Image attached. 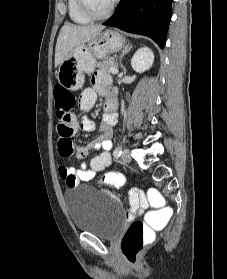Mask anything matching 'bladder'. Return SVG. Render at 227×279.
<instances>
[{"mask_svg":"<svg viewBox=\"0 0 227 279\" xmlns=\"http://www.w3.org/2000/svg\"><path fill=\"white\" fill-rule=\"evenodd\" d=\"M64 201L76 230L109 239L120 234L124 226L121 205L99 189L92 186L68 189Z\"/></svg>","mask_w":227,"mask_h":279,"instance_id":"bladder-1","label":"bladder"}]
</instances>
